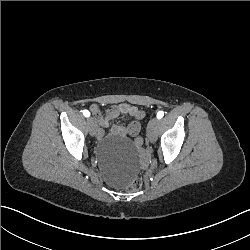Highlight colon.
<instances>
[{
    "label": "colon",
    "mask_w": 250,
    "mask_h": 250,
    "mask_svg": "<svg viewBox=\"0 0 250 250\" xmlns=\"http://www.w3.org/2000/svg\"><path fill=\"white\" fill-rule=\"evenodd\" d=\"M136 118L137 119H142L143 118V113L142 112H137L136 113ZM134 144L135 145H137V146H141V145H143L144 144V139L143 138H135L134 139ZM143 186H144V181H143V179H141V178H136V179H134L131 183H130V186L128 185V186H126L125 187V192L126 193H131L132 191H134V192H139V191H141L142 190V188H143Z\"/></svg>",
    "instance_id": "obj_1"
}]
</instances>
